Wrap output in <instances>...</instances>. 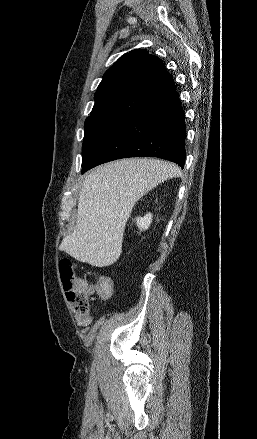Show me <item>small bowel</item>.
Instances as JSON below:
<instances>
[{
    "mask_svg": "<svg viewBox=\"0 0 257 439\" xmlns=\"http://www.w3.org/2000/svg\"><path fill=\"white\" fill-rule=\"evenodd\" d=\"M75 319L80 326L85 327L84 331L87 330V327L92 323L93 320L92 316L89 315L85 317H82L80 315H75Z\"/></svg>",
    "mask_w": 257,
    "mask_h": 439,
    "instance_id": "1",
    "label": "small bowel"
}]
</instances>
